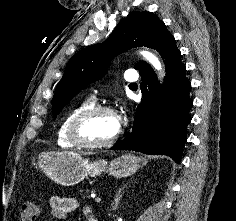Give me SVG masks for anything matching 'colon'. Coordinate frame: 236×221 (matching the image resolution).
Instances as JSON below:
<instances>
[{"label":"colon","instance_id":"1","mask_svg":"<svg viewBox=\"0 0 236 221\" xmlns=\"http://www.w3.org/2000/svg\"><path fill=\"white\" fill-rule=\"evenodd\" d=\"M40 213L41 208L35 202L26 201L20 206L21 221H36Z\"/></svg>","mask_w":236,"mask_h":221}]
</instances>
